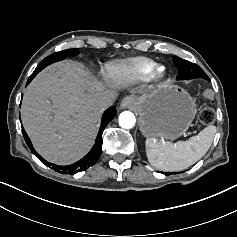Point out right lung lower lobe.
Returning a JSON list of instances; mask_svg holds the SVG:
<instances>
[{"label": "right lung lower lobe", "mask_w": 237, "mask_h": 237, "mask_svg": "<svg viewBox=\"0 0 237 237\" xmlns=\"http://www.w3.org/2000/svg\"><path fill=\"white\" fill-rule=\"evenodd\" d=\"M37 74H33L30 76V78L28 79L27 84H29L32 79L36 76ZM117 112L115 107H110L109 109H107L102 117V123H101V127L99 130V133L97 135L95 144L93 146V148L91 149V151L81 160H79L78 162L72 164V165H68V166H58L55 165L53 163L47 162L44 158H42L39 154H37V152L35 151V149L32 146V143L27 135V133L25 132V130L22 128V133L23 136L25 138V141L28 145V147L31 149L32 153L44 164H46L48 167H51L52 169H54L55 171L62 173V174H75L77 172H81L86 170L87 168H89L90 166L94 165L97 160L99 159L100 155H101V151H102V133L103 130L105 129V127L108 125V123L116 116Z\"/></svg>", "instance_id": "obj_1"}]
</instances>
